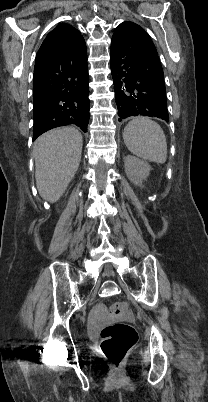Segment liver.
<instances>
[{"label":"liver","mask_w":208,"mask_h":402,"mask_svg":"<svg viewBox=\"0 0 208 402\" xmlns=\"http://www.w3.org/2000/svg\"><path fill=\"white\" fill-rule=\"evenodd\" d=\"M82 136L75 128H56L34 144L37 190L51 204L64 194L80 164Z\"/></svg>","instance_id":"1"}]
</instances>
